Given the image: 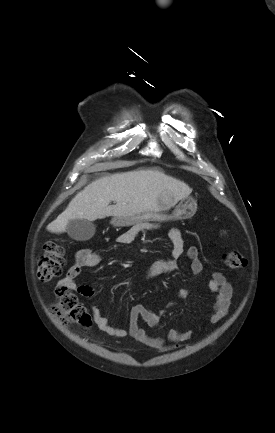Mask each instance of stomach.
Segmentation results:
<instances>
[{"mask_svg": "<svg viewBox=\"0 0 275 433\" xmlns=\"http://www.w3.org/2000/svg\"><path fill=\"white\" fill-rule=\"evenodd\" d=\"M176 203L177 202L173 197H170L167 202L160 200L159 207L155 211L144 212L132 216L114 217L111 220V224L116 227H123L151 221L165 222L170 220H185L191 218L196 213V201L193 198H184L175 207L172 214H167V211Z\"/></svg>", "mask_w": 275, "mask_h": 433, "instance_id": "stomach-1", "label": "stomach"}]
</instances>
